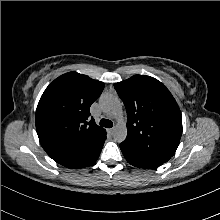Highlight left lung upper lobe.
<instances>
[{"label": "left lung upper lobe", "instance_id": "5c2ea615", "mask_svg": "<svg viewBox=\"0 0 220 220\" xmlns=\"http://www.w3.org/2000/svg\"><path fill=\"white\" fill-rule=\"evenodd\" d=\"M127 111L123 145L167 162L182 135L181 112L169 90L157 79L134 75L114 84Z\"/></svg>", "mask_w": 220, "mask_h": 220}]
</instances>
